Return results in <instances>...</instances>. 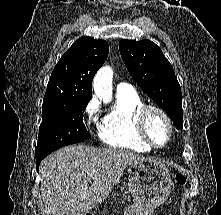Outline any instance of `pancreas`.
Instances as JSON below:
<instances>
[{
	"mask_svg": "<svg viewBox=\"0 0 221 215\" xmlns=\"http://www.w3.org/2000/svg\"><path fill=\"white\" fill-rule=\"evenodd\" d=\"M119 198V203H126L131 200L129 196H127V192L121 190L120 192L115 193Z\"/></svg>",
	"mask_w": 221,
	"mask_h": 215,
	"instance_id": "obj_1",
	"label": "pancreas"
}]
</instances>
